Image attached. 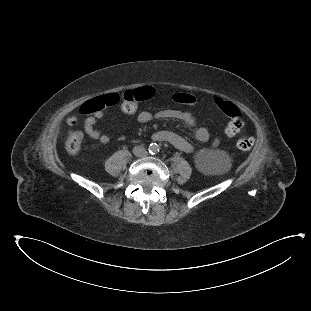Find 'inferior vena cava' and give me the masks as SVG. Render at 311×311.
Listing matches in <instances>:
<instances>
[{
  "mask_svg": "<svg viewBox=\"0 0 311 311\" xmlns=\"http://www.w3.org/2000/svg\"><path fill=\"white\" fill-rule=\"evenodd\" d=\"M135 149H140L141 152H140V153H135ZM133 152H134V154L137 155V156H142V155L146 154V150H145V148L142 147V146L134 147Z\"/></svg>",
  "mask_w": 311,
  "mask_h": 311,
  "instance_id": "obj_1",
  "label": "inferior vena cava"
}]
</instances>
